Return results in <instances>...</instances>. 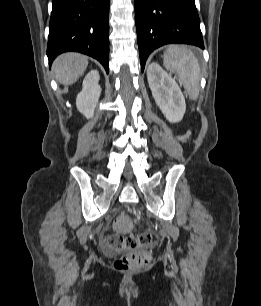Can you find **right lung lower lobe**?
<instances>
[{"instance_id":"right-lung-lower-lobe-1","label":"right lung lower lobe","mask_w":261,"mask_h":306,"mask_svg":"<svg viewBox=\"0 0 261 306\" xmlns=\"http://www.w3.org/2000/svg\"><path fill=\"white\" fill-rule=\"evenodd\" d=\"M47 56L51 66L63 52L97 59L109 71L110 0H52Z\"/></svg>"}]
</instances>
